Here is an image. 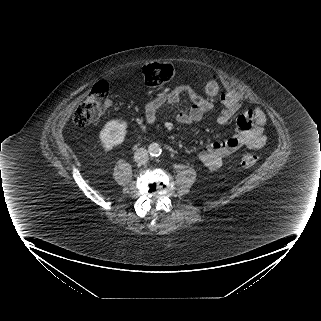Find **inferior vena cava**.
<instances>
[{"label":"inferior vena cava","mask_w":321,"mask_h":321,"mask_svg":"<svg viewBox=\"0 0 321 321\" xmlns=\"http://www.w3.org/2000/svg\"><path fill=\"white\" fill-rule=\"evenodd\" d=\"M148 157L149 154L145 148H139L134 153V159L140 165L147 163Z\"/></svg>","instance_id":"obj_1"}]
</instances>
